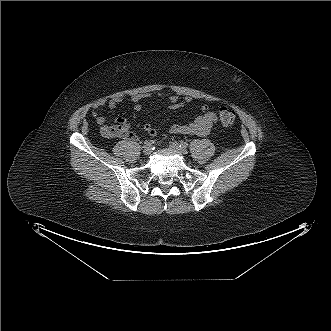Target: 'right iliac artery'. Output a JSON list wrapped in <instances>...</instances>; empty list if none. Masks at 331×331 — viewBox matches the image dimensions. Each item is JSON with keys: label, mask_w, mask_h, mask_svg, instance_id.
Listing matches in <instances>:
<instances>
[{"label": "right iliac artery", "mask_w": 331, "mask_h": 331, "mask_svg": "<svg viewBox=\"0 0 331 331\" xmlns=\"http://www.w3.org/2000/svg\"><path fill=\"white\" fill-rule=\"evenodd\" d=\"M154 143H155L154 140L146 141V142L144 143V145H143V148H144V147H150V146H152Z\"/></svg>", "instance_id": "82829eb1"}]
</instances>
